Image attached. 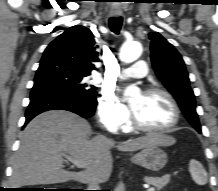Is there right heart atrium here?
Wrapping results in <instances>:
<instances>
[{
	"instance_id": "obj_1",
	"label": "right heart atrium",
	"mask_w": 218,
	"mask_h": 191,
	"mask_svg": "<svg viewBox=\"0 0 218 191\" xmlns=\"http://www.w3.org/2000/svg\"><path fill=\"white\" fill-rule=\"evenodd\" d=\"M97 117L99 123L111 132L126 126L130 113L128 108L110 90L104 91L98 101Z\"/></svg>"
}]
</instances>
